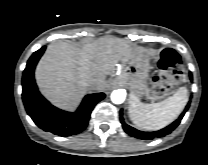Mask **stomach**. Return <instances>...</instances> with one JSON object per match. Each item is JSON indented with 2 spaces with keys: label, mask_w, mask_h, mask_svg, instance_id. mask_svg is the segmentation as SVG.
I'll return each instance as SVG.
<instances>
[{
  "label": "stomach",
  "mask_w": 208,
  "mask_h": 165,
  "mask_svg": "<svg viewBox=\"0 0 208 165\" xmlns=\"http://www.w3.org/2000/svg\"><path fill=\"white\" fill-rule=\"evenodd\" d=\"M128 64L129 66L112 81V84L128 87L131 92L130 95H134L138 99L148 95V72L150 68L148 57L138 51L128 60Z\"/></svg>",
  "instance_id": "obj_1"
}]
</instances>
